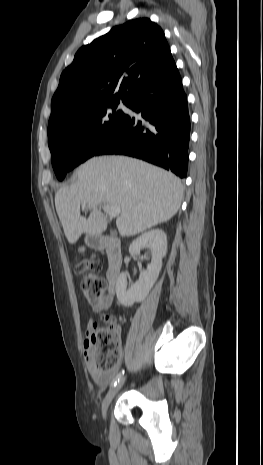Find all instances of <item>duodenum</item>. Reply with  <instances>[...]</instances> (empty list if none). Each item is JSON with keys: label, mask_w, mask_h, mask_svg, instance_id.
<instances>
[{"label": "duodenum", "mask_w": 263, "mask_h": 465, "mask_svg": "<svg viewBox=\"0 0 263 465\" xmlns=\"http://www.w3.org/2000/svg\"><path fill=\"white\" fill-rule=\"evenodd\" d=\"M90 246L97 250H104L107 255V280L112 291L115 290L118 274L123 263V253L120 241L112 236H93Z\"/></svg>", "instance_id": "duodenum-1"}]
</instances>
